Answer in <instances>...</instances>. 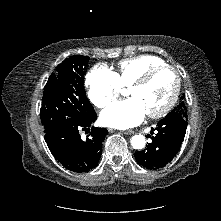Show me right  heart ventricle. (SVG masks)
<instances>
[{
	"label": "right heart ventricle",
	"instance_id": "obj_1",
	"mask_svg": "<svg viewBox=\"0 0 221 221\" xmlns=\"http://www.w3.org/2000/svg\"><path fill=\"white\" fill-rule=\"evenodd\" d=\"M164 64V60L157 56L139 55L121 60L114 73L122 86H130L148 69Z\"/></svg>",
	"mask_w": 221,
	"mask_h": 221
}]
</instances>
